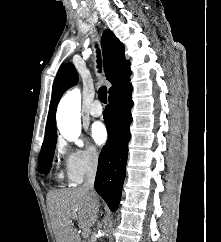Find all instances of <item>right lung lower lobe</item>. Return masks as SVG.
<instances>
[{"label": "right lung lower lobe", "instance_id": "right-lung-lower-lobe-1", "mask_svg": "<svg viewBox=\"0 0 221 242\" xmlns=\"http://www.w3.org/2000/svg\"><path fill=\"white\" fill-rule=\"evenodd\" d=\"M129 76L109 93V105L104 112L108 140L99 156L94 185L112 211L118 208L126 173L129 125L132 121L130 109L133 105Z\"/></svg>", "mask_w": 221, "mask_h": 242}]
</instances>
